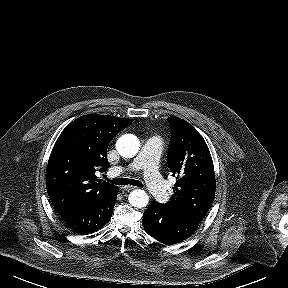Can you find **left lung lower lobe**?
Wrapping results in <instances>:
<instances>
[{"label": "left lung lower lobe", "mask_w": 288, "mask_h": 288, "mask_svg": "<svg viewBox=\"0 0 288 288\" xmlns=\"http://www.w3.org/2000/svg\"><path fill=\"white\" fill-rule=\"evenodd\" d=\"M143 227L154 239L172 245L193 234L199 223L168 210L163 204L153 201L144 212Z\"/></svg>", "instance_id": "left-lung-lower-lobe-1"}]
</instances>
